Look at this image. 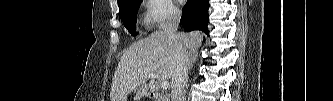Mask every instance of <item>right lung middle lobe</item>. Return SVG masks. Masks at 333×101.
I'll return each instance as SVG.
<instances>
[{
    "mask_svg": "<svg viewBox=\"0 0 333 101\" xmlns=\"http://www.w3.org/2000/svg\"><path fill=\"white\" fill-rule=\"evenodd\" d=\"M142 1L143 0H122L118 3L120 18L124 26L133 36L138 34L134 30L136 24V12Z\"/></svg>",
    "mask_w": 333,
    "mask_h": 101,
    "instance_id": "1",
    "label": "right lung middle lobe"
}]
</instances>
